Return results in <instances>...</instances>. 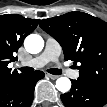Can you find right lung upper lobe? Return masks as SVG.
Wrapping results in <instances>:
<instances>
[{
    "label": "right lung upper lobe",
    "instance_id": "cb5924a9",
    "mask_svg": "<svg viewBox=\"0 0 107 107\" xmlns=\"http://www.w3.org/2000/svg\"><path fill=\"white\" fill-rule=\"evenodd\" d=\"M39 19L24 18L21 15H2L0 17V79L19 74L11 73L7 68L10 60H15L13 53L22 45L24 38L38 25Z\"/></svg>",
    "mask_w": 107,
    "mask_h": 107
}]
</instances>
